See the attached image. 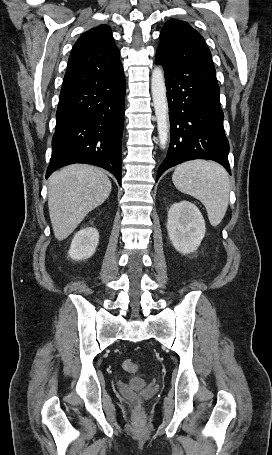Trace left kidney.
Here are the masks:
<instances>
[{"mask_svg":"<svg viewBox=\"0 0 272 455\" xmlns=\"http://www.w3.org/2000/svg\"><path fill=\"white\" fill-rule=\"evenodd\" d=\"M167 231L174 248L182 254H189L197 250L205 236V221L194 204L181 201L169 209Z\"/></svg>","mask_w":272,"mask_h":455,"instance_id":"1","label":"left kidney"}]
</instances>
